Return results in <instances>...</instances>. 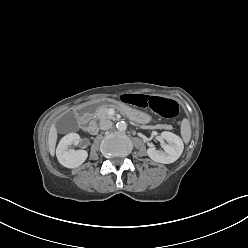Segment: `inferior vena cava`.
<instances>
[{
    "mask_svg": "<svg viewBox=\"0 0 248 248\" xmlns=\"http://www.w3.org/2000/svg\"><path fill=\"white\" fill-rule=\"evenodd\" d=\"M112 127V122L110 120H102L100 122V129L108 130Z\"/></svg>",
    "mask_w": 248,
    "mask_h": 248,
    "instance_id": "obj_1",
    "label": "inferior vena cava"
}]
</instances>
